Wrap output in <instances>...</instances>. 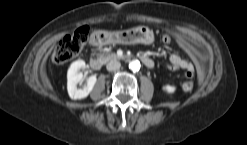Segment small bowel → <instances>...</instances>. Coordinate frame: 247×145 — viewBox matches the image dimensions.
<instances>
[{"label":"small bowel","mask_w":247,"mask_h":145,"mask_svg":"<svg viewBox=\"0 0 247 145\" xmlns=\"http://www.w3.org/2000/svg\"><path fill=\"white\" fill-rule=\"evenodd\" d=\"M176 41L178 45L186 51L190 59L183 58L177 54H171L168 57L169 69L173 71L182 69L186 71V75H193L196 68H202V61L187 40L182 37H177Z\"/></svg>","instance_id":"obj_1"}]
</instances>
